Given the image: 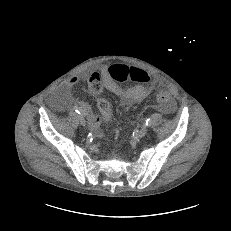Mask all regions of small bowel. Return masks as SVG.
<instances>
[{
	"label": "small bowel",
	"mask_w": 231,
	"mask_h": 231,
	"mask_svg": "<svg viewBox=\"0 0 231 231\" xmlns=\"http://www.w3.org/2000/svg\"><path fill=\"white\" fill-rule=\"evenodd\" d=\"M96 79H100V81L102 82V84H104L106 89L119 96L121 99V104L124 106H129L142 101L148 95H150L155 89V87L158 85V80H150V78L148 77V80L146 82H140L131 88H123L111 80L108 74V68L105 66H102L100 68V71H92L87 74L86 81L90 91H92L91 83ZM78 83L79 78L76 76H72L64 82V86L67 88H72L76 86ZM77 102L88 116L90 128L96 133H100V117L92 113L90 106L86 101L78 100ZM173 108V104H170L164 108V111L171 112Z\"/></svg>",
	"instance_id": "1"
}]
</instances>
